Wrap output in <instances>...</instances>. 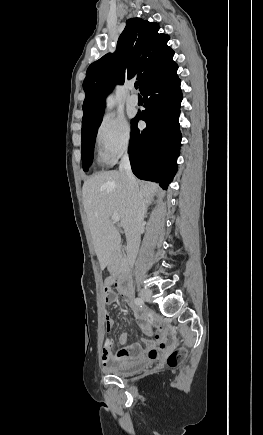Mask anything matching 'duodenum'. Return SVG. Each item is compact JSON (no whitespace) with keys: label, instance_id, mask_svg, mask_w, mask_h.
I'll return each instance as SVG.
<instances>
[{"label":"duodenum","instance_id":"1","mask_svg":"<svg viewBox=\"0 0 263 435\" xmlns=\"http://www.w3.org/2000/svg\"><path fill=\"white\" fill-rule=\"evenodd\" d=\"M117 275V287L118 289L128 295L129 291V281H128V270L125 264H122L116 272Z\"/></svg>","mask_w":263,"mask_h":435}]
</instances>
